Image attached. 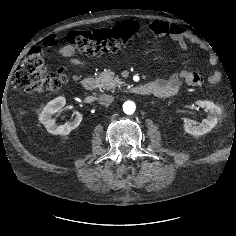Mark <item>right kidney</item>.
<instances>
[{
  "mask_svg": "<svg viewBox=\"0 0 236 236\" xmlns=\"http://www.w3.org/2000/svg\"><path fill=\"white\" fill-rule=\"evenodd\" d=\"M66 103L64 97L60 96L50 101L43 109L39 120L45 126L47 131L55 135H68L73 129L77 128L82 121V114L76 111L75 118L65 125L58 126L52 118L53 114L62 110Z\"/></svg>",
  "mask_w": 236,
  "mask_h": 236,
  "instance_id": "right-kidney-1",
  "label": "right kidney"
}]
</instances>
